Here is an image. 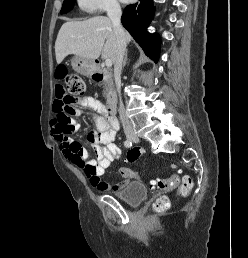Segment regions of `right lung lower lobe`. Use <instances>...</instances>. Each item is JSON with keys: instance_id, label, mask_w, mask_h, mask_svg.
I'll return each instance as SVG.
<instances>
[{"instance_id": "98d812e1", "label": "right lung lower lobe", "mask_w": 248, "mask_h": 258, "mask_svg": "<svg viewBox=\"0 0 248 258\" xmlns=\"http://www.w3.org/2000/svg\"><path fill=\"white\" fill-rule=\"evenodd\" d=\"M154 14L153 0H139L125 8L121 22L148 57L155 62L159 59V39L147 31ZM153 44H150V43Z\"/></svg>"}]
</instances>
